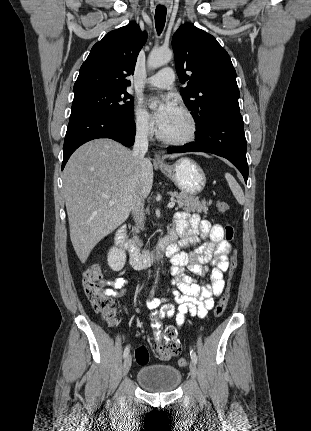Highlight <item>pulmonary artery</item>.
I'll return each instance as SVG.
<instances>
[{
    "instance_id": "pulmonary-artery-1",
    "label": "pulmonary artery",
    "mask_w": 311,
    "mask_h": 431,
    "mask_svg": "<svg viewBox=\"0 0 311 431\" xmlns=\"http://www.w3.org/2000/svg\"><path fill=\"white\" fill-rule=\"evenodd\" d=\"M175 81V74L172 68L165 67L148 78L147 83L160 89L170 88Z\"/></svg>"
}]
</instances>
